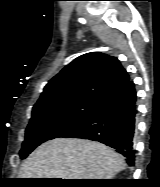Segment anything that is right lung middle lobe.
<instances>
[{
	"label": "right lung middle lobe",
	"instance_id": "right-lung-middle-lobe-1",
	"mask_svg": "<svg viewBox=\"0 0 160 187\" xmlns=\"http://www.w3.org/2000/svg\"><path fill=\"white\" fill-rule=\"evenodd\" d=\"M97 101L75 100L33 108L20 157L26 158L41 143L57 138L86 116Z\"/></svg>",
	"mask_w": 160,
	"mask_h": 187
}]
</instances>
